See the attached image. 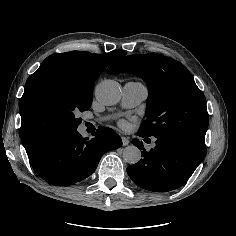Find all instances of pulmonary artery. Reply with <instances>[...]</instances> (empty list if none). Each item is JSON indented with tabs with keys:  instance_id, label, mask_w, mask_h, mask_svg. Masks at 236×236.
Returning <instances> with one entry per match:
<instances>
[{
	"instance_id": "e3ab8cb5",
	"label": "pulmonary artery",
	"mask_w": 236,
	"mask_h": 236,
	"mask_svg": "<svg viewBox=\"0 0 236 236\" xmlns=\"http://www.w3.org/2000/svg\"><path fill=\"white\" fill-rule=\"evenodd\" d=\"M148 95L147 87L137 81H129L124 84L121 104L123 107L131 108L140 104Z\"/></svg>"
}]
</instances>
